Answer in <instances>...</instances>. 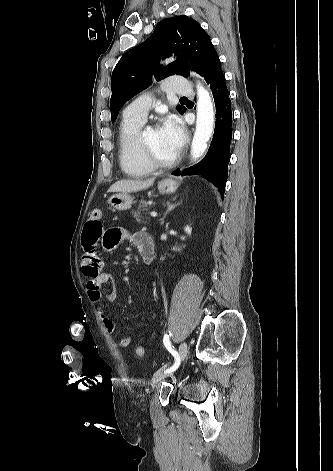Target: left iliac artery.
<instances>
[{
    "instance_id": "left-iliac-artery-1",
    "label": "left iliac artery",
    "mask_w": 333,
    "mask_h": 471,
    "mask_svg": "<svg viewBox=\"0 0 333 471\" xmlns=\"http://www.w3.org/2000/svg\"><path fill=\"white\" fill-rule=\"evenodd\" d=\"M169 337H170V334L166 333L164 335V338H163V343H164V346L167 348V350L173 355V357L175 358V363L173 364V366H171L170 368L164 370V372L166 373H169V372H173L175 371L179 365H180V357H179V354L178 352L174 349V347H172L171 343H170V340H169Z\"/></svg>"
}]
</instances>
